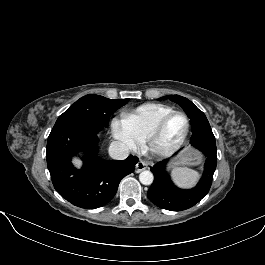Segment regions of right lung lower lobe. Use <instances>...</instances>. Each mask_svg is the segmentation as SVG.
<instances>
[{
    "label": "right lung lower lobe",
    "mask_w": 265,
    "mask_h": 265,
    "mask_svg": "<svg viewBox=\"0 0 265 265\" xmlns=\"http://www.w3.org/2000/svg\"><path fill=\"white\" fill-rule=\"evenodd\" d=\"M103 127L85 121L55 124L47 142V167L56 191L75 206L95 209L108 203L120 181L132 173L138 158L118 161L98 157L97 133ZM84 152L83 166L77 169L72 157Z\"/></svg>",
    "instance_id": "obj_1"
}]
</instances>
